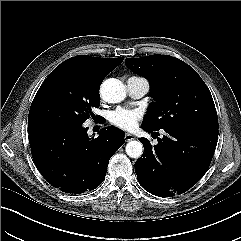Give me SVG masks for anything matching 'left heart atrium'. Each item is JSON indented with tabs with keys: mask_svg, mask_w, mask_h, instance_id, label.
Instances as JSON below:
<instances>
[{
	"mask_svg": "<svg viewBox=\"0 0 241 241\" xmlns=\"http://www.w3.org/2000/svg\"><path fill=\"white\" fill-rule=\"evenodd\" d=\"M142 113L138 109L117 108L110 112L109 121L123 130H133L138 125Z\"/></svg>",
	"mask_w": 241,
	"mask_h": 241,
	"instance_id": "left-heart-atrium-1",
	"label": "left heart atrium"
}]
</instances>
